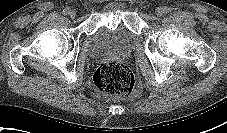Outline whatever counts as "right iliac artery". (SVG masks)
Instances as JSON below:
<instances>
[{
  "label": "right iliac artery",
  "instance_id": "obj_1",
  "mask_svg": "<svg viewBox=\"0 0 227 133\" xmlns=\"http://www.w3.org/2000/svg\"><path fill=\"white\" fill-rule=\"evenodd\" d=\"M69 12H70V8H69V7L65 8V9L63 10V13H64L65 15H68Z\"/></svg>",
  "mask_w": 227,
  "mask_h": 133
}]
</instances>
